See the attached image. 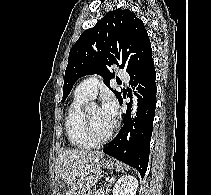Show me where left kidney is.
Here are the masks:
<instances>
[{
	"label": "left kidney",
	"mask_w": 211,
	"mask_h": 195,
	"mask_svg": "<svg viewBox=\"0 0 211 195\" xmlns=\"http://www.w3.org/2000/svg\"><path fill=\"white\" fill-rule=\"evenodd\" d=\"M138 180L131 175L121 176L113 187V195H136Z\"/></svg>",
	"instance_id": "obj_1"
}]
</instances>
